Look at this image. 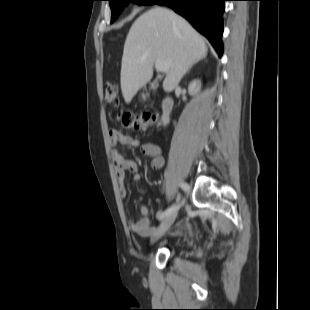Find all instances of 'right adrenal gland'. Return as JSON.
<instances>
[{
    "instance_id": "1",
    "label": "right adrenal gland",
    "mask_w": 310,
    "mask_h": 310,
    "mask_svg": "<svg viewBox=\"0 0 310 310\" xmlns=\"http://www.w3.org/2000/svg\"><path fill=\"white\" fill-rule=\"evenodd\" d=\"M197 62H198V61H197ZM197 62H195V63H197ZM195 63H193V65H194ZM190 69H191V68H190ZM190 69H189V70H190ZM189 70H188V72H189Z\"/></svg>"
}]
</instances>
